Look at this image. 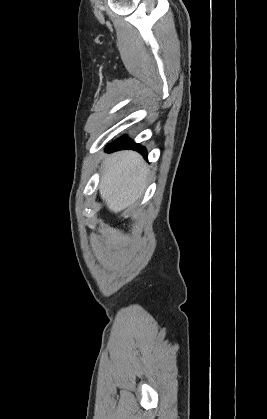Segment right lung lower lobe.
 Returning a JSON list of instances; mask_svg holds the SVG:
<instances>
[{"mask_svg": "<svg viewBox=\"0 0 267 419\" xmlns=\"http://www.w3.org/2000/svg\"><path fill=\"white\" fill-rule=\"evenodd\" d=\"M121 149H133L140 152L144 157H147V152L145 148L127 139L126 136L121 137L116 142L108 146L109 152L121 150Z\"/></svg>", "mask_w": 267, "mask_h": 419, "instance_id": "1", "label": "right lung lower lobe"}]
</instances>
